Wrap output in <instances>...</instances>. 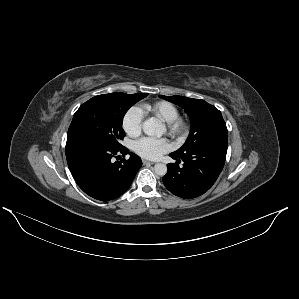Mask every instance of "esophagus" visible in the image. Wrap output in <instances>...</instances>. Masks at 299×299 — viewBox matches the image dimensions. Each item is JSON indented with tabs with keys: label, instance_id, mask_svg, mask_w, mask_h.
I'll use <instances>...</instances> for the list:
<instances>
[{
	"label": "esophagus",
	"instance_id": "obj_1",
	"mask_svg": "<svg viewBox=\"0 0 299 299\" xmlns=\"http://www.w3.org/2000/svg\"><path fill=\"white\" fill-rule=\"evenodd\" d=\"M142 163H143V165H151V164H155V162L148 161V160H143Z\"/></svg>",
	"mask_w": 299,
	"mask_h": 299
}]
</instances>
